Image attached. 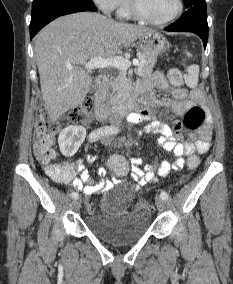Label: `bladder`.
<instances>
[{"instance_id":"bladder-1","label":"bladder","mask_w":233,"mask_h":284,"mask_svg":"<svg viewBox=\"0 0 233 284\" xmlns=\"http://www.w3.org/2000/svg\"><path fill=\"white\" fill-rule=\"evenodd\" d=\"M133 194L132 189H126L120 197L111 200L110 207L129 204ZM84 223L98 239L114 245H124L142 238L148 232L152 219L146 208L137 207L121 211L101 210L87 215Z\"/></svg>"}]
</instances>
